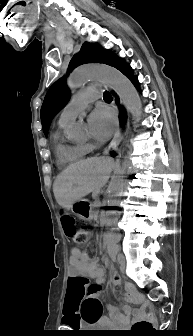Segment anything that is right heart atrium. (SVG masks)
Here are the masks:
<instances>
[{
  "label": "right heart atrium",
  "instance_id": "d8ad5b80",
  "mask_svg": "<svg viewBox=\"0 0 193 336\" xmlns=\"http://www.w3.org/2000/svg\"><path fill=\"white\" fill-rule=\"evenodd\" d=\"M86 146V149L89 151L91 148H92V145L91 144H85Z\"/></svg>",
  "mask_w": 193,
  "mask_h": 336
}]
</instances>
